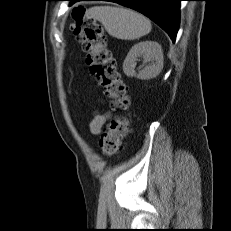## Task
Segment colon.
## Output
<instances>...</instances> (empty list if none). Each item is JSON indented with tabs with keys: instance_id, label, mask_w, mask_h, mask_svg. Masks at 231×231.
<instances>
[{
	"instance_id": "obj_1",
	"label": "colon",
	"mask_w": 231,
	"mask_h": 231,
	"mask_svg": "<svg viewBox=\"0 0 231 231\" xmlns=\"http://www.w3.org/2000/svg\"><path fill=\"white\" fill-rule=\"evenodd\" d=\"M72 17L74 19L73 33L87 54L86 63L90 72L115 108L128 109L130 99L126 85L117 71L116 61L108 48V38L103 27L90 17L82 6L73 9ZM128 129V119L119 115L115 116L100 137L99 146L102 153L116 154Z\"/></svg>"
}]
</instances>
